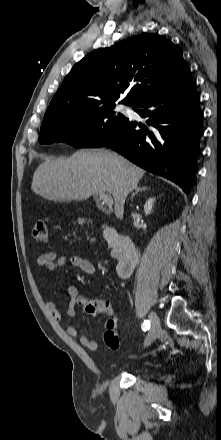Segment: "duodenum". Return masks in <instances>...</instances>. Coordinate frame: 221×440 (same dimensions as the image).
I'll list each match as a JSON object with an SVG mask.
<instances>
[{
    "mask_svg": "<svg viewBox=\"0 0 221 440\" xmlns=\"http://www.w3.org/2000/svg\"><path fill=\"white\" fill-rule=\"evenodd\" d=\"M105 239L115 244L121 250V258L117 264V274L120 278L128 277L137 262V250L128 235L120 234L114 227L105 226L103 229Z\"/></svg>",
    "mask_w": 221,
    "mask_h": 440,
    "instance_id": "410a0bca",
    "label": "duodenum"
}]
</instances>
